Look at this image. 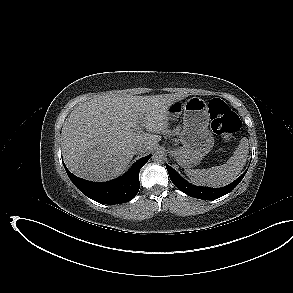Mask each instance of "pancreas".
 Masks as SVG:
<instances>
[{
	"instance_id": "obj_1",
	"label": "pancreas",
	"mask_w": 293,
	"mask_h": 293,
	"mask_svg": "<svg viewBox=\"0 0 293 293\" xmlns=\"http://www.w3.org/2000/svg\"><path fill=\"white\" fill-rule=\"evenodd\" d=\"M179 131H180V127H177L176 129H174L171 134L172 135H178L179 134Z\"/></svg>"
}]
</instances>
